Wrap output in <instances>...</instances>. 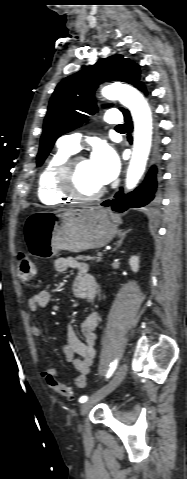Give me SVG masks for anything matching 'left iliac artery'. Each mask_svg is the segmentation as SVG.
Listing matches in <instances>:
<instances>
[{
	"label": "left iliac artery",
	"instance_id": "left-iliac-artery-1",
	"mask_svg": "<svg viewBox=\"0 0 187 479\" xmlns=\"http://www.w3.org/2000/svg\"><path fill=\"white\" fill-rule=\"evenodd\" d=\"M116 365H117V360H115L113 363H111V365H110L111 367H110V369H109V371H108V373H107V375H106L107 378H109V377L113 374V372H114V370H115V368H116ZM87 400H88V397H87V396H82V397L79 398V402H80V403H84V402H86Z\"/></svg>",
	"mask_w": 187,
	"mask_h": 479
}]
</instances>
